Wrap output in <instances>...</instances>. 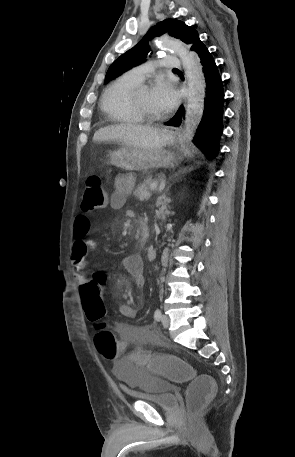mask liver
<instances>
[{
    "label": "liver",
    "mask_w": 295,
    "mask_h": 457,
    "mask_svg": "<svg viewBox=\"0 0 295 457\" xmlns=\"http://www.w3.org/2000/svg\"><path fill=\"white\" fill-rule=\"evenodd\" d=\"M168 130L150 126L121 123L100 128L94 142L114 141L140 150L161 148L168 143Z\"/></svg>",
    "instance_id": "obj_1"
}]
</instances>
